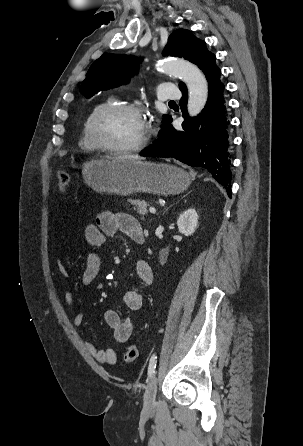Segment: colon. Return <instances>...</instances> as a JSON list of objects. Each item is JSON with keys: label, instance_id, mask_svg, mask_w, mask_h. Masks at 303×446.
Here are the masks:
<instances>
[{"label": "colon", "instance_id": "colon-1", "mask_svg": "<svg viewBox=\"0 0 303 446\" xmlns=\"http://www.w3.org/2000/svg\"><path fill=\"white\" fill-rule=\"evenodd\" d=\"M57 183L62 193H67L70 188V177L64 171L57 173ZM139 355V346L137 344H130L123 353V360L126 363H132Z\"/></svg>", "mask_w": 303, "mask_h": 446}]
</instances>
